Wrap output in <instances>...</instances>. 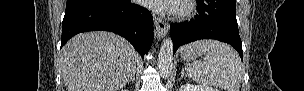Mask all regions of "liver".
Listing matches in <instances>:
<instances>
[{
	"instance_id": "liver-1",
	"label": "liver",
	"mask_w": 304,
	"mask_h": 91,
	"mask_svg": "<svg viewBox=\"0 0 304 91\" xmlns=\"http://www.w3.org/2000/svg\"><path fill=\"white\" fill-rule=\"evenodd\" d=\"M137 61L127 40L106 31L74 36L60 57L67 91H119L135 74Z\"/></svg>"
}]
</instances>
